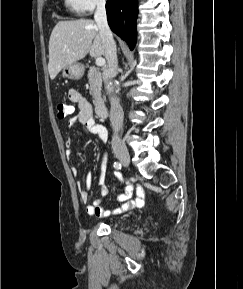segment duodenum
<instances>
[{"instance_id": "1", "label": "duodenum", "mask_w": 243, "mask_h": 289, "mask_svg": "<svg viewBox=\"0 0 243 289\" xmlns=\"http://www.w3.org/2000/svg\"><path fill=\"white\" fill-rule=\"evenodd\" d=\"M95 112L98 117L106 118L108 115L107 107L102 100H96L95 102Z\"/></svg>"}]
</instances>
